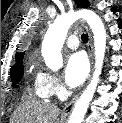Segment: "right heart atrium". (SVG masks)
I'll use <instances>...</instances> for the list:
<instances>
[{
    "label": "right heart atrium",
    "mask_w": 122,
    "mask_h": 123,
    "mask_svg": "<svg viewBox=\"0 0 122 123\" xmlns=\"http://www.w3.org/2000/svg\"><path fill=\"white\" fill-rule=\"evenodd\" d=\"M39 83L48 96H61L65 89L58 77L55 75L41 71L37 74Z\"/></svg>",
    "instance_id": "d8ad5b80"
}]
</instances>
